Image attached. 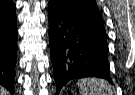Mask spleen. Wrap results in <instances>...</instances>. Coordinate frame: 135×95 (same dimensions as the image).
<instances>
[{"label":"spleen","mask_w":135,"mask_h":95,"mask_svg":"<svg viewBox=\"0 0 135 95\" xmlns=\"http://www.w3.org/2000/svg\"><path fill=\"white\" fill-rule=\"evenodd\" d=\"M81 95H113L110 84L99 78H86L78 82Z\"/></svg>","instance_id":"obj_1"}]
</instances>
